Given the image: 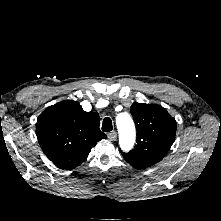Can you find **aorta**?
<instances>
[{
    "mask_svg": "<svg viewBox=\"0 0 221 221\" xmlns=\"http://www.w3.org/2000/svg\"><path fill=\"white\" fill-rule=\"evenodd\" d=\"M116 125L119 133V144L122 150L129 151L135 142V126L131 116L120 113L116 117Z\"/></svg>",
    "mask_w": 221,
    "mask_h": 221,
    "instance_id": "1",
    "label": "aorta"
}]
</instances>
